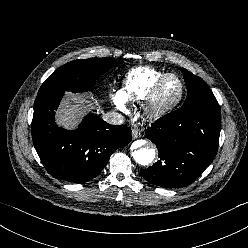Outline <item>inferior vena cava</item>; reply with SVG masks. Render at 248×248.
<instances>
[{
  "label": "inferior vena cava",
  "mask_w": 248,
  "mask_h": 248,
  "mask_svg": "<svg viewBox=\"0 0 248 248\" xmlns=\"http://www.w3.org/2000/svg\"><path fill=\"white\" fill-rule=\"evenodd\" d=\"M103 119L112 125H121L124 123L125 119L123 115L117 112H108L103 116Z\"/></svg>",
  "instance_id": "602c4592"
}]
</instances>
